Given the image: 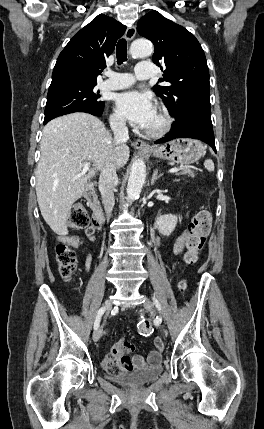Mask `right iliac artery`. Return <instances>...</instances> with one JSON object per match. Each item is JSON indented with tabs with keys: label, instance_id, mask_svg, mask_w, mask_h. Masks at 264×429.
<instances>
[{
	"label": "right iliac artery",
	"instance_id": "1",
	"mask_svg": "<svg viewBox=\"0 0 264 429\" xmlns=\"http://www.w3.org/2000/svg\"><path fill=\"white\" fill-rule=\"evenodd\" d=\"M105 310H106L105 307H101L99 309L97 316H96V319H95V322H94V329L95 330L99 327L101 317L104 314Z\"/></svg>",
	"mask_w": 264,
	"mask_h": 429
}]
</instances>
